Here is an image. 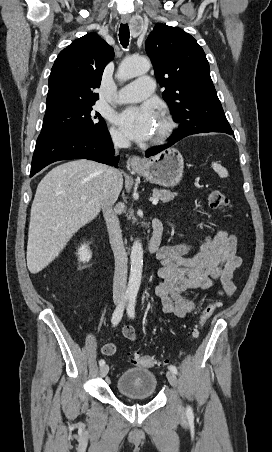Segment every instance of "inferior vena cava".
I'll return each instance as SVG.
<instances>
[{
	"mask_svg": "<svg viewBox=\"0 0 272 452\" xmlns=\"http://www.w3.org/2000/svg\"><path fill=\"white\" fill-rule=\"evenodd\" d=\"M112 140L115 150L118 148H128L130 141L121 133L114 132ZM120 172L115 168H107L104 176L102 190V210L106 221L109 241L114 253L115 273L113 280V299L122 300L125 296L127 282V262L128 257L124 247L122 231L119 219L114 214L112 206L118 198V192L115 184L119 178Z\"/></svg>",
	"mask_w": 272,
	"mask_h": 452,
	"instance_id": "inferior-vena-cava-1",
	"label": "inferior vena cava"
}]
</instances>
